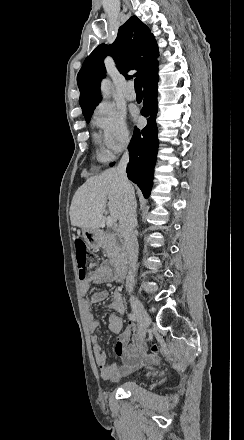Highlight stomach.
<instances>
[{
	"label": "stomach",
	"instance_id": "1",
	"mask_svg": "<svg viewBox=\"0 0 244 440\" xmlns=\"http://www.w3.org/2000/svg\"><path fill=\"white\" fill-rule=\"evenodd\" d=\"M82 236L89 248H100L102 246V234L100 230H90V228H83Z\"/></svg>",
	"mask_w": 244,
	"mask_h": 440
}]
</instances>
